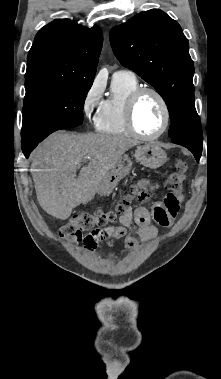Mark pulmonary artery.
<instances>
[{
    "mask_svg": "<svg viewBox=\"0 0 221 379\" xmlns=\"http://www.w3.org/2000/svg\"><path fill=\"white\" fill-rule=\"evenodd\" d=\"M115 74H121V75H127V76L135 77V74L130 70H120V71L116 72Z\"/></svg>",
    "mask_w": 221,
    "mask_h": 379,
    "instance_id": "e3ab8cb5",
    "label": "pulmonary artery"
}]
</instances>
